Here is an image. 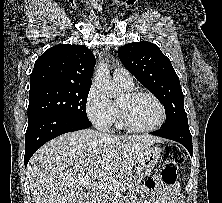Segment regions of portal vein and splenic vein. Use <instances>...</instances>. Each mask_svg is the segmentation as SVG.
Here are the masks:
<instances>
[{
	"instance_id": "obj_1",
	"label": "portal vein and splenic vein",
	"mask_w": 222,
	"mask_h": 203,
	"mask_svg": "<svg viewBox=\"0 0 222 203\" xmlns=\"http://www.w3.org/2000/svg\"><path fill=\"white\" fill-rule=\"evenodd\" d=\"M80 184L89 187L95 190H104V191H113L116 192V190L119 189L120 183L119 182H104V181H91L88 179H82L80 181Z\"/></svg>"
}]
</instances>
